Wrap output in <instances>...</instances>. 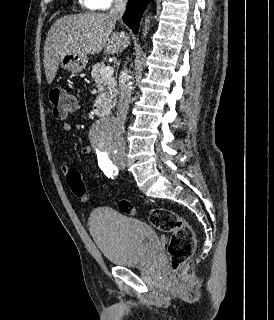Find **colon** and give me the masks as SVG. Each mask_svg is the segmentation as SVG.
Instances as JSON below:
<instances>
[{
	"instance_id": "1",
	"label": "colon",
	"mask_w": 274,
	"mask_h": 320,
	"mask_svg": "<svg viewBox=\"0 0 274 320\" xmlns=\"http://www.w3.org/2000/svg\"><path fill=\"white\" fill-rule=\"evenodd\" d=\"M49 103L56 119L63 120L75 108V99L64 88L55 87L49 91ZM67 182L71 191L81 199L87 198L84 176L77 169H70ZM118 207L127 215H135L136 208L128 200H120ZM152 225L162 233H169V259L173 270H179L192 256L196 248V239L191 225L179 217L173 210L158 206L149 213Z\"/></svg>"
}]
</instances>
